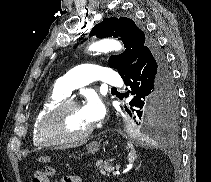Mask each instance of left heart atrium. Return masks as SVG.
Wrapping results in <instances>:
<instances>
[{
    "label": "left heart atrium",
    "instance_id": "39dd6f15",
    "mask_svg": "<svg viewBox=\"0 0 211 182\" xmlns=\"http://www.w3.org/2000/svg\"><path fill=\"white\" fill-rule=\"evenodd\" d=\"M81 111L87 122L93 124L102 118L104 106L98 97L90 96Z\"/></svg>",
    "mask_w": 211,
    "mask_h": 182
}]
</instances>
